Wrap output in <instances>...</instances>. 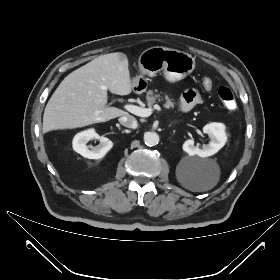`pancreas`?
<instances>
[{
  "mask_svg": "<svg viewBox=\"0 0 280 280\" xmlns=\"http://www.w3.org/2000/svg\"><path fill=\"white\" fill-rule=\"evenodd\" d=\"M164 99H165V106L167 108L174 107V102L168 95L165 94ZM164 99L162 98V96L160 94L157 93V90H155V91L148 90L147 91L146 100H147V105L149 107H152L153 104H155L157 101L160 102V101H163Z\"/></svg>",
  "mask_w": 280,
  "mask_h": 280,
  "instance_id": "pancreas-1",
  "label": "pancreas"
}]
</instances>
